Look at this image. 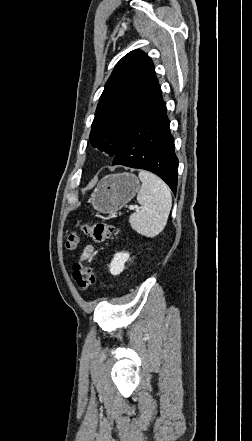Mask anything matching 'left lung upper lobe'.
I'll list each match as a JSON object with an SVG mask.
<instances>
[{
	"instance_id": "1",
	"label": "left lung upper lobe",
	"mask_w": 252,
	"mask_h": 441,
	"mask_svg": "<svg viewBox=\"0 0 252 441\" xmlns=\"http://www.w3.org/2000/svg\"><path fill=\"white\" fill-rule=\"evenodd\" d=\"M155 79L153 62L142 51H131L117 63L96 109L90 133L92 146L115 156Z\"/></svg>"
}]
</instances>
